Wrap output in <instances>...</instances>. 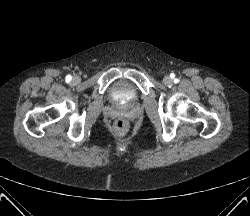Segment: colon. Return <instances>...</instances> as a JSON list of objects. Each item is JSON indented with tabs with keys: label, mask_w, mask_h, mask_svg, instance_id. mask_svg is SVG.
I'll return each mask as SVG.
<instances>
[{
	"label": "colon",
	"mask_w": 250,
	"mask_h": 216,
	"mask_svg": "<svg viewBox=\"0 0 250 216\" xmlns=\"http://www.w3.org/2000/svg\"><path fill=\"white\" fill-rule=\"evenodd\" d=\"M113 128L119 135H124L127 132L128 124L123 118H117L114 121Z\"/></svg>",
	"instance_id": "5ec220e1"
}]
</instances>
